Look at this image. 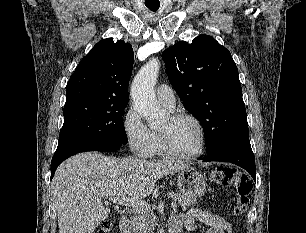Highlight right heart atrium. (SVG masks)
<instances>
[{"label": "right heart atrium", "mask_w": 306, "mask_h": 233, "mask_svg": "<svg viewBox=\"0 0 306 233\" xmlns=\"http://www.w3.org/2000/svg\"><path fill=\"white\" fill-rule=\"evenodd\" d=\"M123 132L130 149L142 157H151L156 151V133L152 131L135 107L124 116Z\"/></svg>", "instance_id": "right-heart-atrium-1"}]
</instances>
